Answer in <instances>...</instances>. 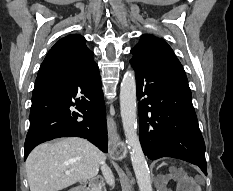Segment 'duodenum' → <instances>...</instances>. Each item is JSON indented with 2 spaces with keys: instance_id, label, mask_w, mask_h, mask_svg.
Segmentation results:
<instances>
[{
  "instance_id": "duodenum-1",
  "label": "duodenum",
  "mask_w": 233,
  "mask_h": 191,
  "mask_svg": "<svg viewBox=\"0 0 233 191\" xmlns=\"http://www.w3.org/2000/svg\"><path fill=\"white\" fill-rule=\"evenodd\" d=\"M77 191H86V190L79 189V190H77Z\"/></svg>"
}]
</instances>
